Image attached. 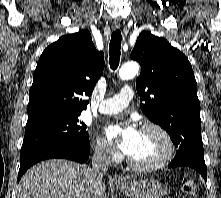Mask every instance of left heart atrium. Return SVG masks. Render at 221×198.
Masks as SVG:
<instances>
[{"label": "left heart atrium", "instance_id": "1", "mask_svg": "<svg viewBox=\"0 0 221 198\" xmlns=\"http://www.w3.org/2000/svg\"><path fill=\"white\" fill-rule=\"evenodd\" d=\"M105 135L124 154L129 155L137 143L139 131L131 123L110 124L105 128Z\"/></svg>", "mask_w": 221, "mask_h": 198}]
</instances>
